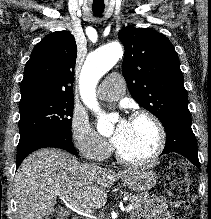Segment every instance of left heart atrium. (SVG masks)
<instances>
[{
    "label": "left heart atrium",
    "instance_id": "left-heart-atrium-1",
    "mask_svg": "<svg viewBox=\"0 0 211 219\" xmlns=\"http://www.w3.org/2000/svg\"><path fill=\"white\" fill-rule=\"evenodd\" d=\"M129 127L130 121L126 119L120 120V122L117 124L111 137V142L116 148H118L123 143L126 135L128 134Z\"/></svg>",
    "mask_w": 211,
    "mask_h": 219
}]
</instances>
